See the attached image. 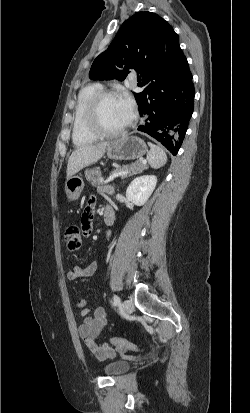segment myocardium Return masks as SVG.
<instances>
[{
	"instance_id": "obj_1",
	"label": "myocardium",
	"mask_w": 250,
	"mask_h": 413,
	"mask_svg": "<svg viewBox=\"0 0 250 413\" xmlns=\"http://www.w3.org/2000/svg\"><path fill=\"white\" fill-rule=\"evenodd\" d=\"M118 97L114 90H100L92 96L86 109V125L88 130L97 138H114L124 134L131 126V121L121 129L109 131L106 130L100 120V106L107 98Z\"/></svg>"
}]
</instances>
